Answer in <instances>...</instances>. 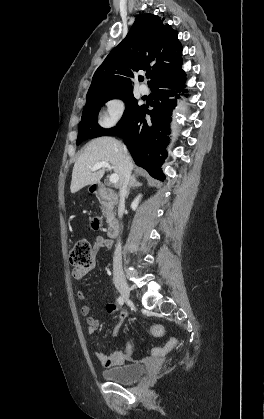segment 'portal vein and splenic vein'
<instances>
[{
    "mask_svg": "<svg viewBox=\"0 0 264 419\" xmlns=\"http://www.w3.org/2000/svg\"><path fill=\"white\" fill-rule=\"evenodd\" d=\"M100 168H107L108 170L112 169V167L110 166L108 162H98L91 168V171H97ZM109 180L112 184H117L119 177L117 174L113 173L110 175Z\"/></svg>",
    "mask_w": 264,
    "mask_h": 419,
    "instance_id": "portal-vein-and-splenic-vein-1",
    "label": "portal vein and splenic vein"
}]
</instances>
